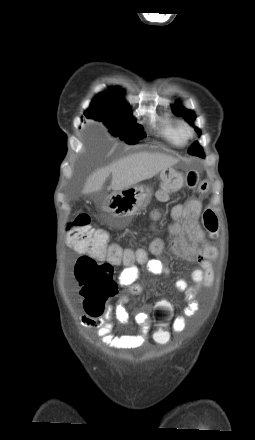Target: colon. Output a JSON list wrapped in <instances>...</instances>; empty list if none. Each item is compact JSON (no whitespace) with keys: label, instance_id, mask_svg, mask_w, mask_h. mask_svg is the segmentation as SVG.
I'll return each instance as SVG.
<instances>
[{"label":"colon","instance_id":"obj_1","mask_svg":"<svg viewBox=\"0 0 255 440\" xmlns=\"http://www.w3.org/2000/svg\"><path fill=\"white\" fill-rule=\"evenodd\" d=\"M198 184L199 173L195 170L185 173L167 171L162 177V188L158 192V199L165 201L170 193L176 192L182 186L195 188ZM206 187L202 184L199 190L204 192ZM202 221L208 231L217 229L218 218L211 208L204 209ZM67 234L70 247L82 253L75 264V276L82 287L85 312L90 317H98L104 312L107 300L117 291L112 275L114 266L135 262L139 251L123 249L117 244H108L106 232L95 229L87 214L76 216L68 224ZM154 302L158 329L152 334L151 339L152 342H156L158 348H165L171 338L166 326L171 319L173 306L168 298H155Z\"/></svg>","mask_w":255,"mask_h":440}]
</instances>
